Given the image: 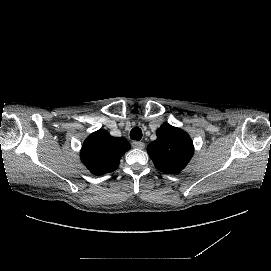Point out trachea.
I'll list each match as a JSON object with an SVG mask.
<instances>
[{
	"label": "trachea",
	"mask_w": 271,
	"mask_h": 271,
	"mask_svg": "<svg viewBox=\"0 0 271 271\" xmlns=\"http://www.w3.org/2000/svg\"><path fill=\"white\" fill-rule=\"evenodd\" d=\"M130 138L139 141L142 138V131L140 128L135 127L130 131Z\"/></svg>",
	"instance_id": "trachea-1"
}]
</instances>
